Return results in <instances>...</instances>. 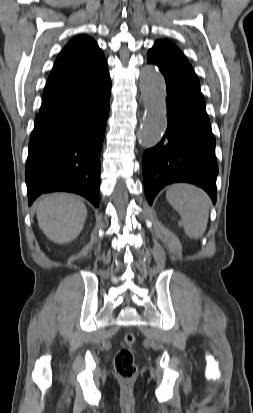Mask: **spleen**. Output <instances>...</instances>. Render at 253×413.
<instances>
[{"label": "spleen", "mask_w": 253, "mask_h": 413, "mask_svg": "<svg viewBox=\"0 0 253 413\" xmlns=\"http://www.w3.org/2000/svg\"><path fill=\"white\" fill-rule=\"evenodd\" d=\"M166 198L182 219L185 233L198 239L207 228L210 198L202 189L190 184H174L166 191Z\"/></svg>", "instance_id": "1"}]
</instances>
